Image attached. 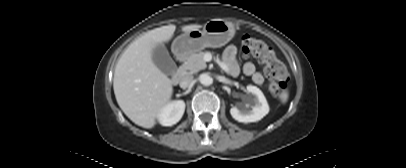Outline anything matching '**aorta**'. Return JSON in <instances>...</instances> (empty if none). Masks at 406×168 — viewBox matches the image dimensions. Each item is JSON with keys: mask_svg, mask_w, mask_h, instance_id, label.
Returning a JSON list of instances; mask_svg holds the SVG:
<instances>
[{"mask_svg": "<svg viewBox=\"0 0 406 168\" xmlns=\"http://www.w3.org/2000/svg\"><path fill=\"white\" fill-rule=\"evenodd\" d=\"M199 81L201 84L208 86L212 83V78L207 74H201L199 76Z\"/></svg>", "mask_w": 406, "mask_h": 168, "instance_id": "obj_1", "label": "aorta"}]
</instances>
